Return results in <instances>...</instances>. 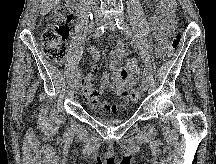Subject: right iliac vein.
I'll return each instance as SVG.
<instances>
[{"mask_svg": "<svg viewBox=\"0 0 216 164\" xmlns=\"http://www.w3.org/2000/svg\"><path fill=\"white\" fill-rule=\"evenodd\" d=\"M104 23V19L102 18H96V24L97 25H102ZM79 89V80L78 81H74L73 84V92L76 94L78 92Z\"/></svg>", "mask_w": 216, "mask_h": 164, "instance_id": "63e3f726", "label": "right iliac vein"}]
</instances>
